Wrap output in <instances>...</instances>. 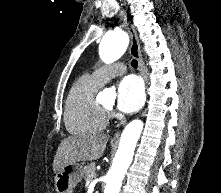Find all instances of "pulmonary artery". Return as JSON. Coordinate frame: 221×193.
I'll return each mask as SVG.
<instances>
[{
	"label": "pulmonary artery",
	"instance_id": "obj_1",
	"mask_svg": "<svg viewBox=\"0 0 221 193\" xmlns=\"http://www.w3.org/2000/svg\"><path fill=\"white\" fill-rule=\"evenodd\" d=\"M126 71V66L122 63H118L110 66H103L97 68L92 74L91 77L100 85L105 83L110 78L121 75Z\"/></svg>",
	"mask_w": 221,
	"mask_h": 193
}]
</instances>
